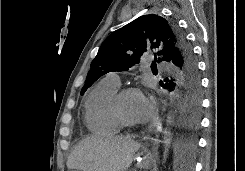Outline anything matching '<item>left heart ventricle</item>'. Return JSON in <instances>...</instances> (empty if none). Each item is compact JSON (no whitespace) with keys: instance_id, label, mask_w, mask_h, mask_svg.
<instances>
[{"instance_id":"1","label":"left heart ventricle","mask_w":245,"mask_h":171,"mask_svg":"<svg viewBox=\"0 0 245 171\" xmlns=\"http://www.w3.org/2000/svg\"><path fill=\"white\" fill-rule=\"evenodd\" d=\"M142 95L130 94L125 96L120 102V111L125 119L138 122L137 111Z\"/></svg>"}]
</instances>
